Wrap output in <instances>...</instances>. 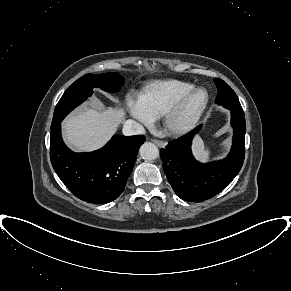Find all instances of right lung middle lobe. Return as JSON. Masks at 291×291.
<instances>
[{
    "label": "right lung middle lobe",
    "instance_id": "dd1d6c3e",
    "mask_svg": "<svg viewBox=\"0 0 291 291\" xmlns=\"http://www.w3.org/2000/svg\"><path fill=\"white\" fill-rule=\"evenodd\" d=\"M124 84V78L118 73L87 74L75 81L63 94L56 105L51 128L61 123L64 117L87 99L94 87L104 91L116 92Z\"/></svg>",
    "mask_w": 291,
    "mask_h": 291
}]
</instances>
